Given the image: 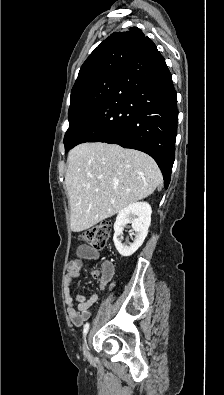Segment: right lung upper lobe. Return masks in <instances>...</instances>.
Listing matches in <instances>:
<instances>
[{
    "instance_id": "1",
    "label": "right lung upper lobe",
    "mask_w": 224,
    "mask_h": 395,
    "mask_svg": "<svg viewBox=\"0 0 224 395\" xmlns=\"http://www.w3.org/2000/svg\"><path fill=\"white\" fill-rule=\"evenodd\" d=\"M145 38L147 37L137 27L111 34L86 59L72 92L105 75L122 73L135 57Z\"/></svg>"
}]
</instances>
